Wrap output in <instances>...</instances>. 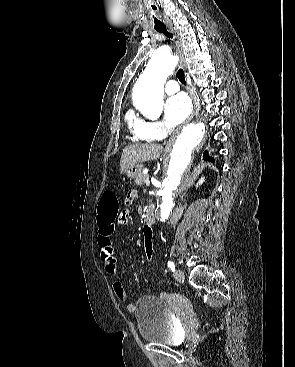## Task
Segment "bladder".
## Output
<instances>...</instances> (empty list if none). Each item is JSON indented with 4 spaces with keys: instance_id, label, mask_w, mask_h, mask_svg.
Returning <instances> with one entry per match:
<instances>
[{
    "instance_id": "obj_1",
    "label": "bladder",
    "mask_w": 295,
    "mask_h": 367,
    "mask_svg": "<svg viewBox=\"0 0 295 367\" xmlns=\"http://www.w3.org/2000/svg\"><path fill=\"white\" fill-rule=\"evenodd\" d=\"M134 313L143 341L165 345L180 343V326L162 299L154 296L141 297L136 303Z\"/></svg>"
}]
</instances>
